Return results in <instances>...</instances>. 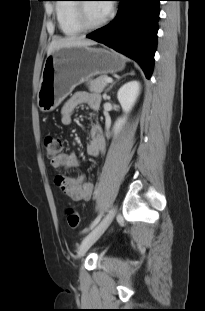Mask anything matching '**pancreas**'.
Here are the masks:
<instances>
[{
    "instance_id": "obj_1",
    "label": "pancreas",
    "mask_w": 205,
    "mask_h": 311,
    "mask_svg": "<svg viewBox=\"0 0 205 311\" xmlns=\"http://www.w3.org/2000/svg\"><path fill=\"white\" fill-rule=\"evenodd\" d=\"M105 78H107V76L102 75L94 80H90L87 85L88 88L91 92L94 93H101L103 92V90L105 89V87L107 86L108 82L105 81Z\"/></svg>"
}]
</instances>
